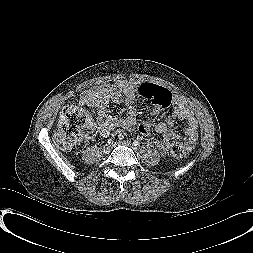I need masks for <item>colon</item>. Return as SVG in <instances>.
Masks as SVG:
<instances>
[{
  "label": "colon",
  "instance_id": "colon-1",
  "mask_svg": "<svg viewBox=\"0 0 253 253\" xmlns=\"http://www.w3.org/2000/svg\"><path fill=\"white\" fill-rule=\"evenodd\" d=\"M92 132L87 115L78 108L69 106L62 113L54 141L60 148L72 149ZM171 154L181 159L185 157L186 151L176 143L171 147Z\"/></svg>",
  "mask_w": 253,
  "mask_h": 253
}]
</instances>
